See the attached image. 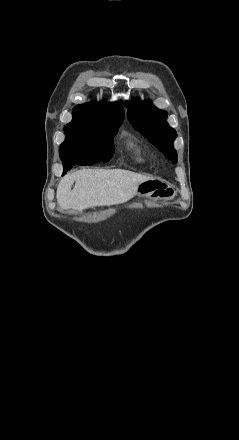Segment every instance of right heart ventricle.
<instances>
[{
  "instance_id": "obj_1",
  "label": "right heart ventricle",
  "mask_w": 239,
  "mask_h": 440,
  "mask_svg": "<svg viewBox=\"0 0 239 440\" xmlns=\"http://www.w3.org/2000/svg\"><path fill=\"white\" fill-rule=\"evenodd\" d=\"M126 147L137 164L144 165L147 162L145 149L136 139H129L126 142Z\"/></svg>"
}]
</instances>
